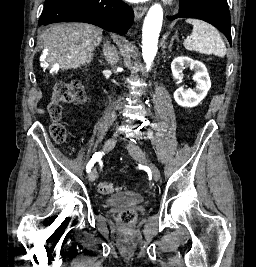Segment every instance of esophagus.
Here are the masks:
<instances>
[{
    "label": "esophagus",
    "mask_w": 256,
    "mask_h": 267,
    "mask_svg": "<svg viewBox=\"0 0 256 267\" xmlns=\"http://www.w3.org/2000/svg\"><path fill=\"white\" fill-rule=\"evenodd\" d=\"M147 11V6H137L134 8L135 19L139 20Z\"/></svg>",
    "instance_id": "obj_1"
}]
</instances>
